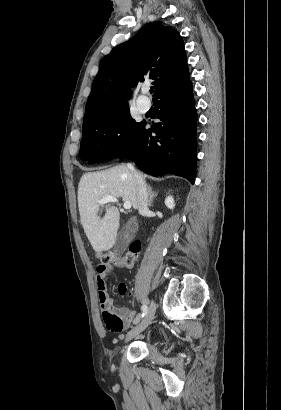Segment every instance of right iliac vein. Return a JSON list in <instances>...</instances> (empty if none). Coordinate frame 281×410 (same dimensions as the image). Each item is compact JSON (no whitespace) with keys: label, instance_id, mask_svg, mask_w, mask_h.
<instances>
[{"label":"right iliac vein","instance_id":"right-iliac-vein-1","mask_svg":"<svg viewBox=\"0 0 281 410\" xmlns=\"http://www.w3.org/2000/svg\"><path fill=\"white\" fill-rule=\"evenodd\" d=\"M155 310H156V305L154 301H151L147 314L142 319V321L126 335L125 342H128L134 337L138 336L149 326L152 319L154 318Z\"/></svg>","mask_w":281,"mask_h":410}]
</instances>
